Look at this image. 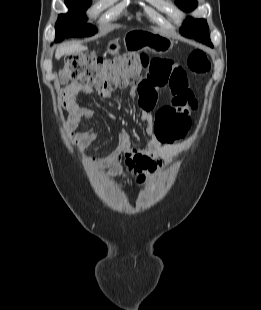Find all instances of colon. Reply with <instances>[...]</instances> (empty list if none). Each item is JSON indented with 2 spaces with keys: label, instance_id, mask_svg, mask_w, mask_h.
Returning a JSON list of instances; mask_svg holds the SVG:
<instances>
[{
  "label": "colon",
  "instance_id": "5ec220e1",
  "mask_svg": "<svg viewBox=\"0 0 261 310\" xmlns=\"http://www.w3.org/2000/svg\"><path fill=\"white\" fill-rule=\"evenodd\" d=\"M149 64L147 56L127 53L111 59L93 53H73L65 57L59 77L63 84L89 86L98 92L125 88L144 82L143 70ZM188 67L196 75L210 71L208 54L201 49L191 52Z\"/></svg>",
  "mask_w": 261,
  "mask_h": 310
}]
</instances>
